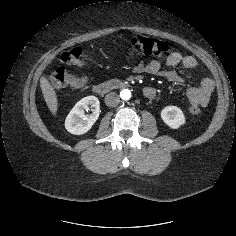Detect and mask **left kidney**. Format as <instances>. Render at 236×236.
Returning a JSON list of instances; mask_svg holds the SVG:
<instances>
[{"label":"left kidney","instance_id":"1","mask_svg":"<svg viewBox=\"0 0 236 236\" xmlns=\"http://www.w3.org/2000/svg\"><path fill=\"white\" fill-rule=\"evenodd\" d=\"M161 118L172 129H178L186 122L182 110L176 106H166L162 109Z\"/></svg>","mask_w":236,"mask_h":236}]
</instances>
